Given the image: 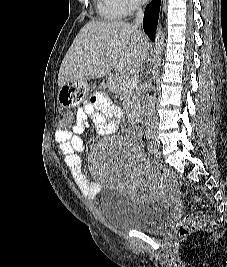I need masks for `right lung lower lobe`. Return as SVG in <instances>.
<instances>
[{
  "label": "right lung lower lobe",
  "mask_w": 227,
  "mask_h": 267,
  "mask_svg": "<svg viewBox=\"0 0 227 267\" xmlns=\"http://www.w3.org/2000/svg\"><path fill=\"white\" fill-rule=\"evenodd\" d=\"M161 0H152L144 12L143 28L151 41H155Z\"/></svg>",
  "instance_id": "1"
}]
</instances>
